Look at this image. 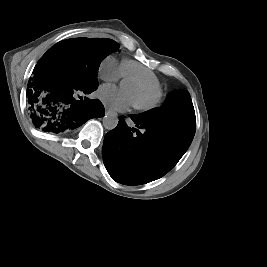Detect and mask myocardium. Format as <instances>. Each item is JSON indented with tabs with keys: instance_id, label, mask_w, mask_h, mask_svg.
I'll use <instances>...</instances> for the list:
<instances>
[{
	"instance_id": "1",
	"label": "myocardium",
	"mask_w": 267,
	"mask_h": 267,
	"mask_svg": "<svg viewBox=\"0 0 267 267\" xmlns=\"http://www.w3.org/2000/svg\"><path fill=\"white\" fill-rule=\"evenodd\" d=\"M128 81L134 82L138 85L146 86L152 94L151 98L145 102H142V103L134 102L133 105L136 109H138V110H150V109L154 108L159 103L160 98H161V91H159L158 89L150 87V85H148L147 83H145L144 81H142L141 79H139L137 77L130 78Z\"/></svg>"
}]
</instances>
